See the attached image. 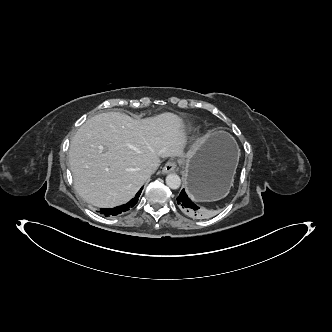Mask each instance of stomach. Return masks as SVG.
Segmentation results:
<instances>
[{
  "instance_id": "obj_1",
  "label": "stomach",
  "mask_w": 332,
  "mask_h": 332,
  "mask_svg": "<svg viewBox=\"0 0 332 332\" xmlns=\"http://www.w3.org/2000/svg\"><path fill=\"white\" fill-rule=\"evenodd\" d=\"M238 161L239 148L230 134L218 131L205 135L183 164L189 197L196 202L224 198L232 186Z\"/></svg>"
}]
</instances>
